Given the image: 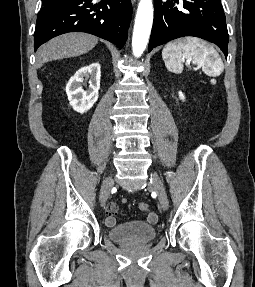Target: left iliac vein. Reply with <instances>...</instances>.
I'll return each instance as SVG.
<instances>
[{"label":"left iliac vein","mask_w":255,"mask_h":287,"mask_svg":"<svg viewBox=\"0 0 255 287\" xmlns=\"http://www.w3.org/2000/svg\"><path fill=\"white\" fill-rule=\"evenodd\" d=\"M150 181L158 195V199L162 209L167 210L169 207V201L163 182L156 173L150 174Z\"/></svg>","instance_id":"obj_1"}]
</instances>
